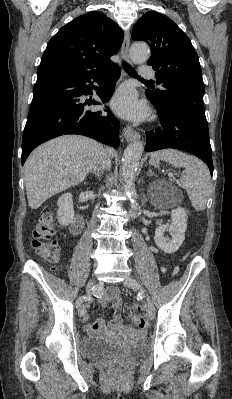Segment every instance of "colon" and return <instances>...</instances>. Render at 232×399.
I'll list each match as a JSON object with an SVG mask.
<instances>
[{
  "label": "colon",
  "instance_id": "1",
  "mask_svg": "<svg viewBox=\"0 0 232 399\" xmlns=\"http://www.w3.org/2000/svg\"><path fill=\"white\" fill-rule=\"evenodd\" d=\"M194 230H199V225H194ZM51 218L42 216L39 218L35 228L29 234V241L33 249L44 255L48 260V267L52 271H57L61 267V262L56 257L60 253V244L51 242ZM133 324H148L147 313L144 308H133L132 310Z\"/></svg>",
  "mask_w": 232,
  "mask_h": 399
}]
</instances>
